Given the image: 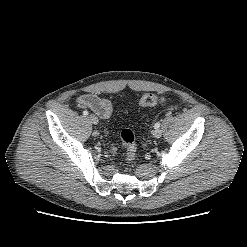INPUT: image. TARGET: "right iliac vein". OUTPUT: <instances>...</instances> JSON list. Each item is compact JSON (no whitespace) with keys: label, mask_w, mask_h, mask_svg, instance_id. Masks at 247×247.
<instances>
[{"label":"right iliac vein","mask_w":247,"mask_h":247,"mask_svg":"<svg viewBox=\"0 0 247 247\" xmlns=\"http://www.w3.org/2000/svg\"><path fill=\"white\" fill-rule=\"evenodd\" d=\"M88 119L90 120L91 123L95 125L98 124V118L95 115L93 114L89 115Z\"/></svg>","instance_id":"obj_1"}]
</instances>
